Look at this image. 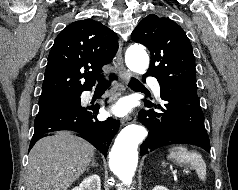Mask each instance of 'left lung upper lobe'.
Instances as JSON below:
<instances>
[{
	"label": "left lung upper lobe",
	"instance_id": "left-lung-upper-lobe-1",
	"mask_svg": "<svg viewBox=\"0 0 238 190\" xmlns=\"http://www.w3.org/2000/svg\"><path fill=\"white\" fill-rule=\"evenodd\" d=\"M131 36L150 50L147 75L157 78L160 88L197 93L193 49L178 24L150 14L140 21Z\"/></svg>",
	"mask_w": 238,
	"mask_h": 190
}]
</instances>
